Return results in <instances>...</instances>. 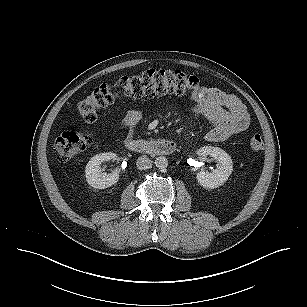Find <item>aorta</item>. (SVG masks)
I'll use <instances>...</instances> for the list:
<instances>
[{"instance_id": "aorta-1", "label": "aorta", "mask_w": 307, "mask_h": 307, "mask_svg": "<svg viewBox=\"0 0 307 307\" xmlns=\"http://www.w3.org/2000/svg\"><path fill=\"white\" fill-rule=\"evenodd\" d=\"M155 165L159 169H164L168 166V160L164 156L157 157L155 160Z\"/></svg>"}]
</instances>
